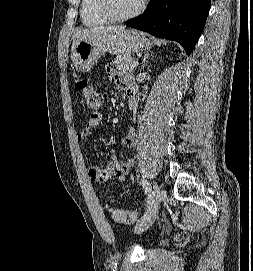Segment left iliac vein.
I'll use <instances>...</instances> for the list:
<instances>
[{
	"label": "left iliac vein",
	"instance_id": "obj_1",
	"mask_svg": "<svg viewBox=\"0 0 253 271\" xmlns=\"http://www.w3.org/2000/svg\"><path fill=\"white\" fill-rule=\"evenodd\" d=\"M154 191L152 193L151 202L147 213L141 218L135 227L136 232L147 230L156 220L161 200L165 197V193L161 191L157 183L153 185Z\"/></svg>",
	"mask_w": 253,
	"mask_h": 271
}]
</instances>
